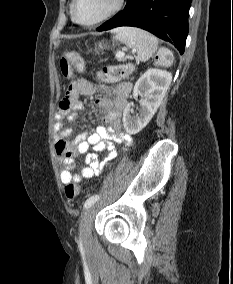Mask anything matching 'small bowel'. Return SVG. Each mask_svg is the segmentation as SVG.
Here are the masks:
<instances>
[{
  "label": "small bowel",
  "instance_id": "obj_1",
  "mask_svg": "<svg viewBox=\"0 0 233 284\" xmlns=\"http://www.w3.org/2000/svg\"><path fill=\"white\" fill-rule=\"evenodd\" d=\"M130 89L129 83H120L113 88L111 97L97 98L95 103L104 113L103 124L92 133L82 132L73 141H68L72 129L63 128L64 120L76 121L78 112L83 108L79 97L92 95L95 92L94 85L87 78H80L68 86L56 112L54 127L55 152L62 165L60 179L63 184H76L82 179L98 176L106 164L117 156L115 143H123L126 147L130 145L131 136L121 129V116ZM89 149L93 152L89 153ZM100 151L107 152L106 157L101 161L97 156V152ZM81 154L87 155V165L78 173H73L75 157Z\"/></svg>",
  "mask_w": 233,
  "mask_h": 284
}]
</instances>
